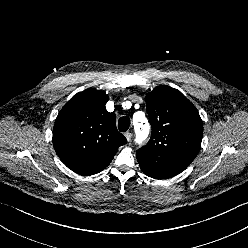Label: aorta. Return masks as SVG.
Segmentation results:
<instances>
[{"label": "aorta", "mask_w": 248, "mask_h": 248, "mask_svg": "<svg viewBox=\"0 0 248 248\" xmlns=\"http://www.w3.org/2000/svg\"><path fill=\"white\" fill-rule=\"evenodd\" d=\"M145 122L136 123V130L140 133V137L143 138L146 136Z\"/></svg>", "instance_id": "762f6f07"}]
</instances>
